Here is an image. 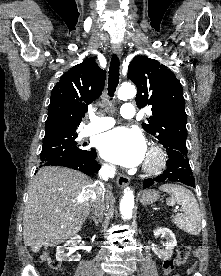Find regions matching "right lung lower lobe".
I'll return each mask as SVG.
<instances>
[{
  "mask_svg": "<svg viewBox=\"0 0 221 276\" xmlns=\"http://www.w3.org/2000/svg\"><path fill=\"white\" fill-rule=\"evenodd\" d=\"M96 150L93 149L92 153L85 157H69L58 160H50L43 163L44 166L58 165L75 170H79L86 175H95L100 169V165L95 161Z\"/></svg>",
  "mask_w": 221,
  "mask_h": 276,
  "instance_id": "98d812e1",
  "label": "right lung lower lobe"
}]
</instances>
